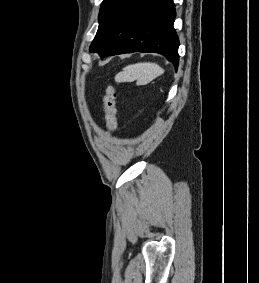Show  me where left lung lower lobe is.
I'll list each match as a JSON object with an SVG mask.
<instances>
[{
	"instance_id": "0a47b994",
	"label": "left lung lower lobe",
	"mask_w": 259,
	"mask_h": 283,
	"mask_svg": "<svg viewBox=\"0 0 259 283\" xmlns=\"http://www.w3.org/2000/svg\"><path fill=\"white\" fill-rule=\"evenodd\" d=\"M173 0H124L100 39L89 50L101 57L155 52L178 67L179 39L173 28Z\"/></svg>"
}]
</instances>
